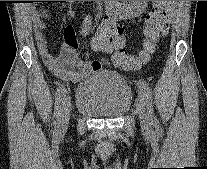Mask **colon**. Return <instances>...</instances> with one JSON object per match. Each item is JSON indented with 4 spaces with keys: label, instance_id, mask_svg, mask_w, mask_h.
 <instances>
[{
    "label": "colon",
    "instance_id": "colon-1",
    "mask_svg": "<svg viewBox=\"0 0 207 169\" xmlns=\"http://www.w3.org/2000/svg\"><path fill=\"white\" fill-rule=\"evenodd\" d=\"M173 1H153V8L145 20V41L138 55H129L123 44H115V34L111 30L99 28L91 41L93 50L103 53L114 51L112 62L125 69H136L145 63L154 52L157 42L168 31Z\"/></svg>",
    "mask_w": 207,
    "mask_h": 169
}]
</instances>
